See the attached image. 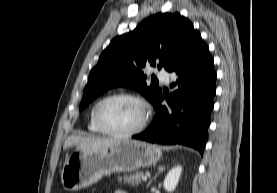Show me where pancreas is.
<instances>
[{
  "instance_id": "cf45deb5",
  "label": "pancreas",
  "mask_w": 277,
  "mask_h": 193,
  "mask_svg": "<svg viewBox=\"0 0 277 193\" xmlns=\"http://www.w3.org/2000/svg\"><path fill=\"white\" fill-rule=\"evenodd\" d=\"M144 176L143 172H136L135 174H129V175H124L123 176V183H128L132 186H138V184L141 183V178ZM118 181H121L122 178L119 176Z\"/></svg>"
}]
</instances>
